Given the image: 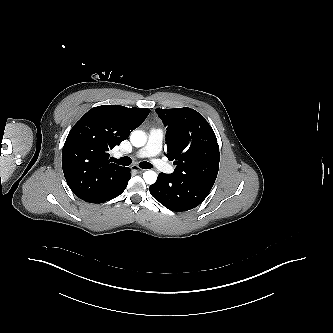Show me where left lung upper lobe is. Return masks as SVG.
Wrapping results in <instances>:
<instances>
[{"label": "left lung upper lobe", "instance_id": "1", "mask_svg": "<svg viewBox=\"0 0 333 333\" xmlns=\"http://www.w3.org/2000/svg\"><path fill=\"white\" fill-rule=\"evenodd\" d=\"M167 127V157L176 165L172 175L212 187L219 169V146L212 127L191 108L156 109Z\"/></svg>", "mask_w": 333, "mask_h": 333}]
</instances>
